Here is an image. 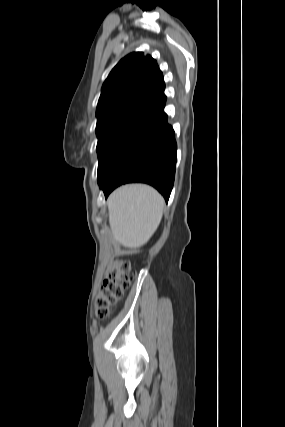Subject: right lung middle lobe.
Instances as JSON below:
<instances>
[{
	"instance_id": "obj_1",
	"label": "right lung middle lobe",
	"mask_w": 285,
	"mask_h": 427,
	"mask_svg": "<svg viewBox=\"0 0 285 427\" xmlns=\"http://www.w3.org/2000/svg\"><path fill=\"white\" fill-rule=\"evenodd\" d=\"M144 114L143 112H120L98 119L96 126L98 175L111 163L123 141Z\"/></svg>"
}]
</instances>
